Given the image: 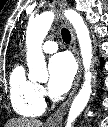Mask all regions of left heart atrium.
Returning <instances> with one entry per match:
<instances>
[{"label": "left heart atrium", "instance_id": "obj_1", "mask_svg": "<svg viewBox=\"0 0 108 127\" xmlns=\"http://www.w3.org/2000/svg\"><path fill=\"white\" fill-rule=\"evenodd\" d=\"M75 72V64L67 53H59L53 56L49 62V90L55 95L67 92Z\"/></svg>", "mask_w": 108, "mask_h": 127}]
</instances>
